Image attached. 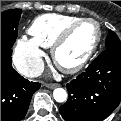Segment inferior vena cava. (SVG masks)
I'll return each mask as SVG.
<instances>
[{
  "mask_svg": "<svg viewBox=\"0 0 121 121\" xmlns=\"http://www.w3.org/2000/svg\"><path fill=\"white\" fill-rule=\"evenodd\" d=\"M17 70L26 77H37L43 73L44 63L42 59H37L33 63L17 66Z\"/></svg>",
  "mask_w": 121,
  "mask_h": 121,
  "instance_id": "1",
  "label": "inferior vena cava"
}]
</instances>
